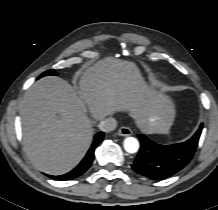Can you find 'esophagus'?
<instances>
[{
    "label": "esophagus",
    "instance_id": "34e87169",
    "mask_svg": "<svg viewBox=\"0 0 218 210\" xmlns=\"http://www.w3.org/2000/svg\"><path fill=\"white\" fill-rule=\"evenodd\" d=\"M132 134H133V131L128 127H121L118 130V135H120V136H130Z\"/></svg>",
    "mask_w": 218,
    "mask_h": 210
}]
</instances>
